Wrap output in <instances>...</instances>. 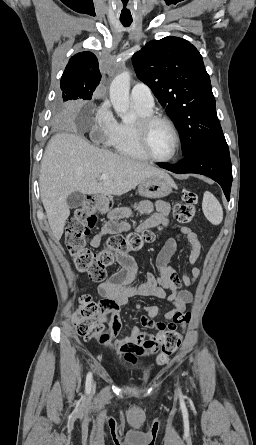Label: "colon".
<instances>
[{"mask_svg":"<svg viewBox=\"0 0 256 445\" xmlns=\"http://www.w3.org/2000/svg\"><path fill=\"white\" fill-rule=\"evenodd\" d=\"M196 203L197 195L194 192L183 191L181 201L174 207V218L179 223H189L196 214ZM94 206L93 199L85 200L75 217L68 221L65 246L79 272L88 275L93 281H103L106 277V269L114 264L117 253L127 254L129 251L137 250L144 244L154 241L155 234L153 231L144 230L127 237L112 235L107 241L105 250L93 252L86 247V241L98 222ZM100 311V304L93 301L89 295L80 297L79 309L73 321L80 336L85 339H103L104 326L98 319ZM189 321V312L178 314L174 319V322L181 326L188 324ZM180 343L181 334L179 332L173 328L166 330L159 347H157V362L159 364L166 362L169 356L178 349Z\"/></svg>","mask_w":256,"mask_h":445,"instance_id":"1","label":"colon"}]
</instances>
